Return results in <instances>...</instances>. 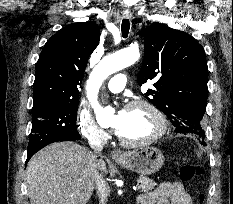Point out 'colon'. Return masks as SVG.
I'll use <instances>...</instances> for the list:
<instances>
[{"mask_svg": "<svg viewBox=\"0 0 233 204\" xmlns=\"http://www.w3.org/2000/svg\"><path fill=\"white\" fill-rule=\"evenodd\" d=\"M204 173V167L200 164L195 163L184 164L179 169V177L184 182L191 181L194 178L203 175ZM199 199L203 201L204 196L201 194L199 196Z\"/></svg>", "mask_w": 233, "mask_h": 204, "instance_id": "5ec220e1", "label": "colon"}]
</instances>
